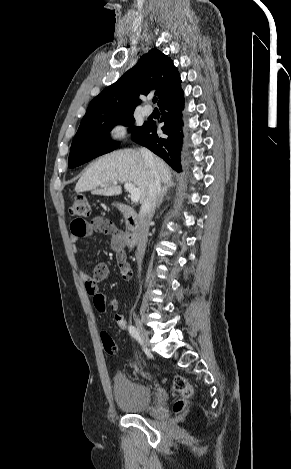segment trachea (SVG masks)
Returning <instances> with one entry per match:
<instances>
[{"instance_id":"3493384b","label":"trachea","mask_w":291,"mask_h":469,"mask_svg":"<svg viewBox=\"0 0 291 469\" xmlns=\"http://www.w3.org/2000/svg\"><path fill=\"white\" fill-rule=\"evenodd\" d=\"M157 102V97H153V103Z\"/></svg>"}]
</instances>
